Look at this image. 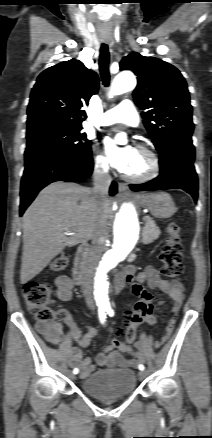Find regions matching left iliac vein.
Segmentation results:
<instances>
[{"label": "left iliac vein", "mask_w": 212, "mask_h": 438, "mask_svg": "<svg viewBox=\"0 0 212 438\" xmlns=\"http://www.w3.org/2000/svg\"><path fill=\"white\" fill-rule=\"evenodd\" d=\"M147 373L145 371H140L139 372V378L140 379H144L146 377Z\"/></svg>", "instance_id": "4c4485c4"}]
</instances>
